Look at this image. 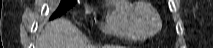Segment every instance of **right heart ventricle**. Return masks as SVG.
Returning <instances> with one entry per match:
<instances>
[{
    "instance_id": "right-heart-ventricle-1",
    "label": "right heart ventricle",
    "mask_w": 213,
    "mask_h": 48,
    "mask_svg": "<svg viewBox=\"0 0 213 48\" xmlns=\"http://www.w3.org/2000/svg\"><path fill=\"white\" fill-rule=\"evenodd\" d=\"M138 3L129 0H117L107 7L102 29L120 39L138 42L145 36L135 25L133 12Z\"/></svg>"
}]
</instances>
